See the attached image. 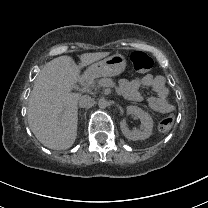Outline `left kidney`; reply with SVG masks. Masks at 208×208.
<instances>
[{"label": "left kidney", "instance_id": "left-kidney-1", "mask_svg": "<svg viewBox=\"0 0 208 208\" xmlns=\"http://www.w3.org/2000/svg\"><path fill=\"white\" fill-rule=\"evenodd\" d=\"M133 114L141 120L140 131H130L127 127V120L124 117L120 121V129L123 135L132 141L145 140L152 135L153 120L149 114L136 106H128L126 108V115Z\"/></svg>", "mask_w": 208, "mask_h": 208}]
</instances>
